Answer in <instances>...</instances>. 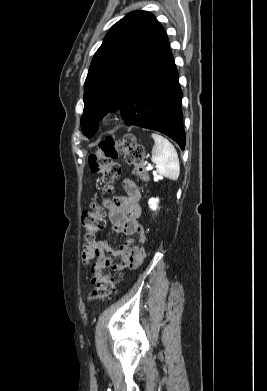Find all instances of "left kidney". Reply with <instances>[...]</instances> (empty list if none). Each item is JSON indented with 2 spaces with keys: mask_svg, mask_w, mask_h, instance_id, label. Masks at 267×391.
Returning a JSON list of instances; mask_svg holds the SVG:
<instances>
[{
  "mask_svg": "<svg viewBox=\"0 0 267 391\" xmlns=\"http://www.w3.org/2000/svg\"><path fill=\"white\" fill-rule=\"evenodd\" d=\"M158 202H159V199L158 198H151L148 202L150 208L152 210H156L157 207H158Z\"/></svg>",
  "mask_w": 267,
  "mask_h": 391,
  "instance_id": "1",
  "label": "left kidney"
}]
</instances>
